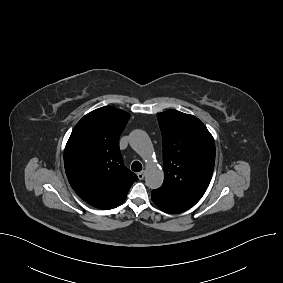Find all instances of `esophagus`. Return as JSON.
<instances>
[{"mask_svg": "<svg viewBox=\"0 0 283 283\" xmlns=\"http://www.w3.org/2000/svg\"><path fill=\"white\" fill-rule=\"evenodd\" d=\"M137 176H138V178H139L140 180L144 179V177H145V171L143 170V171L139 172V173L137 174Z\"/></svg>", "mask_w": 283, "mask_h": 283, "instance_id": "1", "label": "esophagus"}]
</instances>
